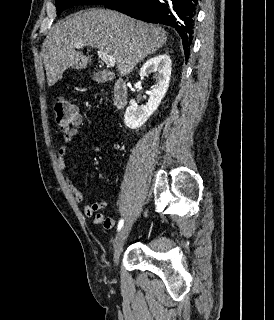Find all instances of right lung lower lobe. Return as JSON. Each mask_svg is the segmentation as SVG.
I'll return each instance as SVG.
<instances>
[{"label": "right lung lower lobe", "mask_w": 274, "mask_h": 320, "mask_svg": "<svg viewBox=\"0 0 274 320\" xmlns=\"http://www.w3.org/2000/svg\"><path fill=\"white\" fill-rule=\"evenodd\" d=\"M198 0H111L104 6L149 23L176 29L182 38L186 60L193 40Z\"/></svg>", "instance_id": "right-lung-lower-lobe-1"}]
</instances>
